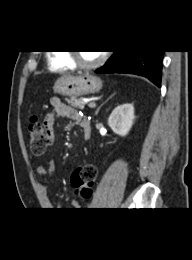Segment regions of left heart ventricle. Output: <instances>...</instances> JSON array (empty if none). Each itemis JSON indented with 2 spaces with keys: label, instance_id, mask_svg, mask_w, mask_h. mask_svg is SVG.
I'll use <instances>...</instances> for the list:
<instances>
[{
  "label": "left heart ventricle",
  "instance_id": "left-heart-ventricle-1",
  "mask_svg": "<svg viewBox=\"0 0 192 260\" xmlns=\"http://www.w3.org/2000/svg\"><path fill=\"white\" fill-rule=\"evenodd\" d=\"M81 60L84 63H93L99 59L101 52L97 51H82L79 53Z\"/></svg>",
  "mask_w": 192,
  "mask_h": 260
}]
</instances>
